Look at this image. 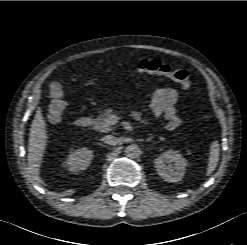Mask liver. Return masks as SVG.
Returning a JSON list of instances; mask_svg holds the SVG:
<instances>
[{
	"mask_svg": "<svg viewBox=\"0 0 247 245\" xmlns=\"http://www.w3.org/2000/svg\"><path fill=\"white\" fill-rule=\"evenodd\" d=\"M48 142L46 123L41 110H37L32 121L28 141V171L31 178L38 184L45 185L40 174L45 148Z\"/></svg>",
	"mask_w": 247,
	"mask_h": 245,
	"instance_id": "1",
	"label": "liver"
}]
</instances>
